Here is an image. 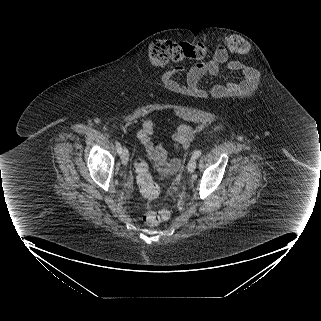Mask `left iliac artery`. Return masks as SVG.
Returning <instances> with one entry per match:
<instances>
[{"instance_id": "obj_1", "label": "left iliac artery", "mask_w": 321, "mask_h": 321, "mask_svg": "<svg viewBox=\"0 0 321 321\" xmlns=\"http://www.w3.org/2000/svg\"><path fill=\"white\" fill-rule=\"evenodd\" d=\"M201 151H195L194 153H193V155H192V157H194V158H198L199 156H201Z\"/></svg>"}]
</instances>
